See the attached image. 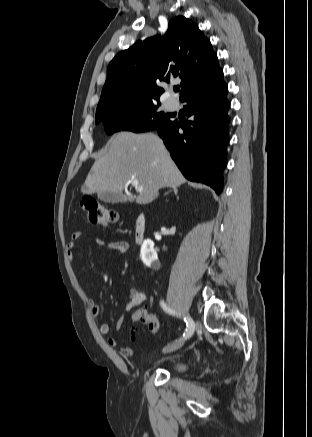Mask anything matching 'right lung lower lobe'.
<instances>
[{
	"label": "right lung lower lobe",
	"instance_id": "1",
	"mask_svg": "<svg viewBox=\"0 0 312 437\" xmlns=\"http://www.w3.org/2000/svg\"><path fill=\"white\" fill-rule=\"evenodd\" d=\"M227 85L223 72L204 86L188 93L186 114L191 120L181 125L172 121L158 129L166 148L182 174L190 181L222 191V173L227 164L226 146L229 142ZM179 128L183 133H179Z\"/></svg>",
	"mask_w": 312,
	"mask_h": 437
}]
</instances>
